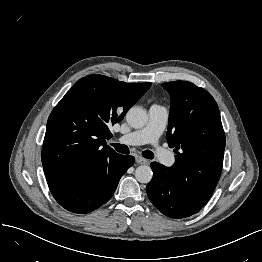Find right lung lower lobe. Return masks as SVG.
Segmentation results:
<instances>
[{"label":"right lung lower lobe","instance_id":"1","mask_svg":"<svg viewBox=\"0 0 262 262\" xmlns=\"http://www.w3.org/2000/svg\"><path fill=\"white\" fill-rule=\"evenodd\" d=\"M133 163L134 157L119 155L95 174L47 178V183L62 207L74 213L85 214L98 209L112 197L120 178Z\"/></svg>","mask_w":262,"mask_h":262}]
</instances>
